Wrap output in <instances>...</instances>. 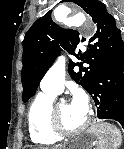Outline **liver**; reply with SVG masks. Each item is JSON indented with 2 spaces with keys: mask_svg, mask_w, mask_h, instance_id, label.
Listing matches in <instances>:
<instances>
[{
  "mask_svg": "<svg viewBox=\"0 0 124 149\" xmlns=\"http://www.w3.org/2000/svg\"><path fill=\"white\" fill-rule=\"evenodd\" d=\"M53 149H64V147L63 146H61V145H59V146H56L55 148H53Z\"/></svg>",
  "mask_w": 124,
  "mask_h": 149,
  "instance_id": "6515ba94",
  "label": "liver"
}]
</instances>
